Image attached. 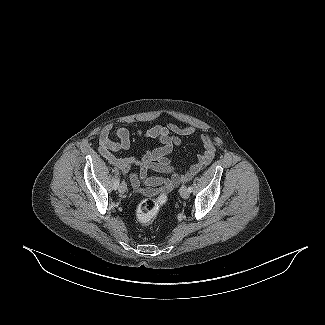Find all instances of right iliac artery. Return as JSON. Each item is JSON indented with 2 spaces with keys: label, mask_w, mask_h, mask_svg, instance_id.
Masks as SVG:
<instances>
[{
  "label": "right iliac artery",
  "mask_w": 325,
  "mask_h": 325,
  "mask_svg": "<svg viewBox=\"0 0 325 325\" xmlns=\"http://www.w3.org/2000/svg\"><path fill=\"white\" fill-rule=\"evenodd\" d=\"M119 182H120V179L118 178V179L115 181L114 185H113V188H114L115 190L118 188V186H119Z\"/></svg>",
  "instance_id": "1"
}]
</instances>
